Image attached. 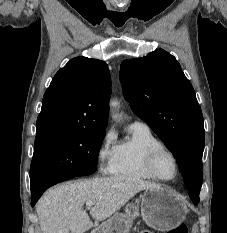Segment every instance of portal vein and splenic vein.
<instances>
[{"instance_id": "portal-vein-and-splenic-vein-1", "label": "portal vein and splenic vein", "mask_w": 227, "mask_h": 233, "mask_svg": "<svg viewBox=\"0 0 227 233\" xmlns=\"http://www.w3.org/2000/svg\"><path fill=\"white\" fill-rule=\"evenodd\" d=\"M94 204L93 201H88L86 202V207H91Z\"/></svg>"}]
</instances>
